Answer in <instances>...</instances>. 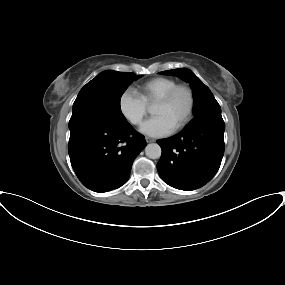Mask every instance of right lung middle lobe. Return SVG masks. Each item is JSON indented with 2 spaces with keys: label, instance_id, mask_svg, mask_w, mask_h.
Instances as JSON below:
<instances>
[{
  "label": "right lung middle lobe",
  "instance_id": "dd1d6c3e",
  "mask_svg": "<svg viewBox=\"0 0 285 285\" xmlns=\"http://www.w3.org/2000/svg\"><path fill=\"white\" fill-rule=\"evenodd\" d=\"M134 73L107 70L98 74L79 92L69 121V129L77 124L97 119L113 125H123L127 120L120 109V98L136 79Z\"/></svg>",
  "mask_w": 285,
  "mask_h": 285
}]
</instances>
